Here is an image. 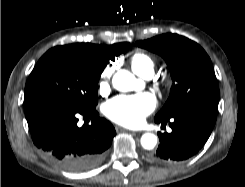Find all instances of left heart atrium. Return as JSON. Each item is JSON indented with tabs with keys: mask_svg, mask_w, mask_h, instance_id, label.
<instances>
[{
	"mask_svg": "<svg viewBox=\"0 0 245 187\" xmlns=\"http://www.w3.org/2000/svg\"><path fill=\"white\" fill-rule=\"evenodd\" d=\"M156 98L145 92L137 95H120L104 106L105 115L112 121L127 127L141 125L156 107Z\"/></svg>",
	"mask_w": 245,
	"mask_h": 187,
	"instance_id": "39dd6f15",
	"label": "left heart atrium"
}]
</instances>
